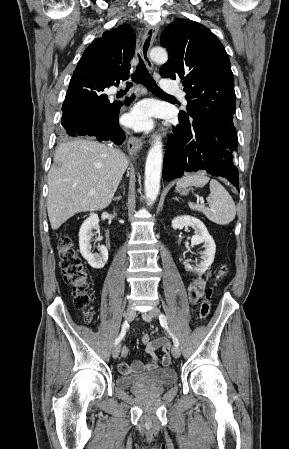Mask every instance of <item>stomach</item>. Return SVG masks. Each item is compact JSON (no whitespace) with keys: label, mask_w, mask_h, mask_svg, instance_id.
<instances>
[{"label":"stomach","mask_w":289,"mask_h":449,"mask_svg":"<svg viewBox=\"0 0 289 449\" xmlns=\"http://www.w3.org/2000/svg\"><path fill=\"white\" fill-rule=\"evenodd\" d=\"M176 191L181 195H185L189 192V189L187 187H176Z\"/></svg>","instance_id":"stomach-1"}]
</instances>
